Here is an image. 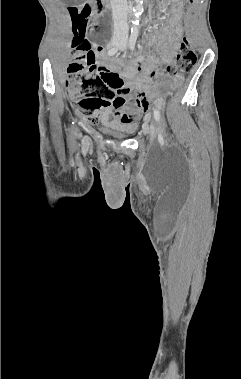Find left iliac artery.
Listing matches in <instances>:
<instances>
[{
	"mask_svg": "<svg viewBox=\"0 0 241 379\" xmlns=\"http://www.w3.org/2000/svg\"><path fill=\"white\" fill-rule=\"evenodd\" d=\"M138 34H139L138 28H134V29L131 30V36H130V39H129V47H130L131 50H133L134 47H135V43H136ZM154 118H155V120L157 122L160 121L161 115H160V112L157 109L154 110ZM158 139H159L160 143H162V144L164 143L163 135H162L161 132L158 135Z\"/></svg>",
	"mask_w": 241,
	"mask_h": 379,
	"instance_id": "1",
	"label": "left iliac artery"
}]
</instances>
